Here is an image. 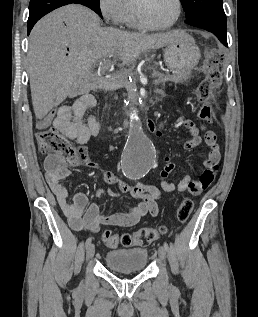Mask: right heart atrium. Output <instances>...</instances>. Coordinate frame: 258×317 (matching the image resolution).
Masks as SVG:
<instances>
[{
	"label": "right heart atrium",
	"instance_id": "d8ad5b80",
	"mask_svg": "<svg viewBox=\"0 0 258 317\" xmlns=\"http://www.w3.org/2000/svg\"><path fill=\"white\" fill-rule=\"evenodd\" d=\"M99 10L108 26H123L125 24L126 0H100Z\"/></svg>",
	"mask_w": 258,
	"mask_h": 317
}]
</instances>
